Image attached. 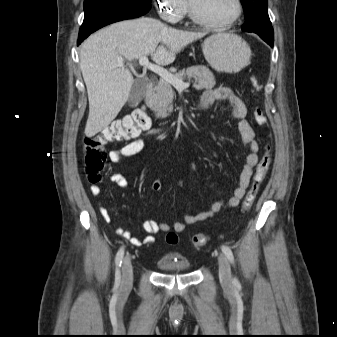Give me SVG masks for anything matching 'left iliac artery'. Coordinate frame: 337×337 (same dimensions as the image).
<instances>
[{
    "instance_id": "left-iliac-artery-1",
    "label": "left iliac artery",
    "mask_w": 337,
    "mask_h": 337,
    "mask_svg": "<svg viewBox=\"0 0 337 337\" xmlns=\"http://www.w3.org/2000/svg\"><path fill=\"white\" fill-rule=\"evenodd\" d=\"M221 249H222V252L227 257V259L230 261V263H234V256H233V253H232L231 249L228 246H226V245H223L221 247ZM233 283L234 284H238L239 282H238V280L236 278H234L233 279Z\"/></svg>"
}]
</instances>
